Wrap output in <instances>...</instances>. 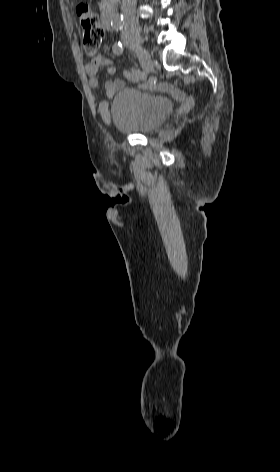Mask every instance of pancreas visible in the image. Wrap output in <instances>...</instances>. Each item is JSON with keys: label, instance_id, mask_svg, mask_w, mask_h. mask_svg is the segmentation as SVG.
Instances as JSON below:
<instances>
[{"label": "pancreas", "instance_id": "1", "mask_svg": "<svg viewBox=\"0 0 280 472\" xmlns=\"http://www.w3.org/2000/svg\"><path fill=\"white\" fill-rule=\"evenodd\" d=\"M104 2H107L108 0H103Z\"/></svg>", "mask_w": 280, "mask_h": 472}]
</instances>
